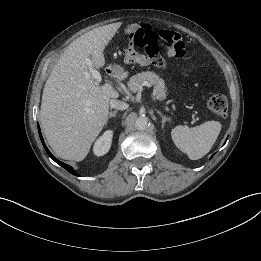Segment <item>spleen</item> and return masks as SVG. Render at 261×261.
Here are the masks:
<instances>
[{
  "label": "spleen",
  "instance_id": "obj_1",
  "mask_svg": "<svg viewBox=\"0 0 261 261\" xmlns=\"http://www.w3.org/2000/svg\"><path fill=\"white\" fill-rule=\"evenodd\" d=\"M220 131V122L207 121L192 128L176 126L171 131V137L178 149L186 153L191 160H198L211 150Z\"/></svg>",
  "mask_w": 261,
  "mask_h": 261
}]
</instances>
